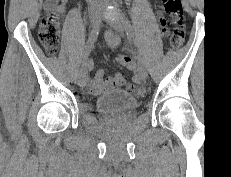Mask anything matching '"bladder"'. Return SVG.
I'll return each mask as SVG.
<instances>
[{
	"label": "bladder",
	"mask_w": 231,
	"mask_h": 177,
	"mask_svg": "<svg viewBox=\"0 0 231 177\" xmlns=\"http://www.w3.org/2000/svg\"><path fill=\"white\" fill-rule=\"evenodd\" d=\"M138 106L137 99L120 89L101 94L96 100V109L106 115L132 111Z\"/></svg>",
	"instance_id": "31cf9c89"
}]
</instances>
